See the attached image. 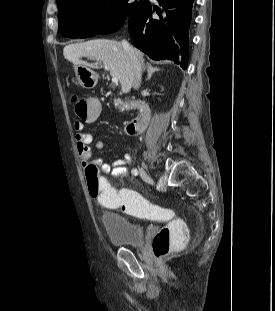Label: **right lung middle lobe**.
<instances>
[{
    "mask_svg": "<svg viewBox=\"0 0 275 311\" xmlns=\"http://www.w3.org/2000/svg\"><path fill=\"white\" fill-rule=\"evenodd\" d=\"M147 0H69L58 6L59 32L79 38L88 29L96 34L119 30Z\"/></svg>",
    "mask_w": 275,
    "mask_h": 311,
    "instance_id": "obj_1",
    "label": "right lung middle lobe"
}]
</instances>
